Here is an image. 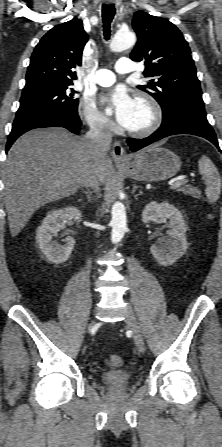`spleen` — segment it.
Returning <instances> with one entry per match:
<instances>
[{"mask_svg": "<svg viewBox=\"0 0 222 447\" xmlns=\"http://www.w3.org/2000/svg\"><path fill=\"white\" fill-rule=\"evenodd\" d=\"M199 173L205 178V194L210 203L219 199L221 193V179L216 166L205 155L199 160Z\"/></svg>", "mask_w": 222, "mask_h": 447, "instance_id": "spleen-1", "label": "spleen"}]
</instances>
